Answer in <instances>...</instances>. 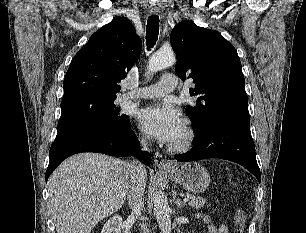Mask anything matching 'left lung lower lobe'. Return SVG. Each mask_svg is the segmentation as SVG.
Listing matches in <instances>:
<instances>
[{
  "instance_id": "obj_1",
  "label": "left lung lower lobe",
  "mask_w": 306,
  "mask_h": 233,
  "mask_svg": "<svg viewBox=\"0 0 306 233\" xmlns=\"http://www.w3.org/2000/svg\"><path fill=\"white\" fill-rule=\"evenodd\" d=\"M195 146L185 154L175 156L181 161L220 158L238 163L260 181V169L256 161L250 122L224 121L215 123L196 133Z\"/></svg>"
}]
</instances>
